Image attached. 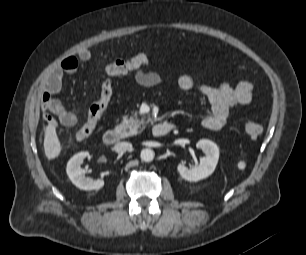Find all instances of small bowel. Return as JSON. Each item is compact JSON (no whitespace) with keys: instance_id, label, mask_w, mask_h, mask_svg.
I'll return each mask as SVG.
<instances>
[{"instance_id":"small-bowel-1","label":"small bowel","mask_w":306,"mask_h":255,"mask_svg":"<svg viewBox=\"0 0 306 255\" xmlns=\"http://www.w3.org/2000/svg\"><path fill=\"white\" fill-rule=\"evenodd\" d=\"M90 59L91 52L88 49H81L76 56L72 55L64 58L45 78L42 94V115L49 125L54 126L56 124L51 114L57 116L59 122L64 126L70 127L76 124V114L66 108L53 95L60 91L64 75L74 73L79 66V61L86 62ZM134 78L137 84L143 87H153L162 81V77L157 72L149 69V63L145 67L136 69ZM177 84L182 92L196 91L208 100L211 112L202 119L201 125L213 131L225 127L233 108L251 103L254 89L253 84L249 81H242L235 87L227 82H222L216 86L196 84L188 74H181L177 79Z\"/></svg>"}]
</instances>
